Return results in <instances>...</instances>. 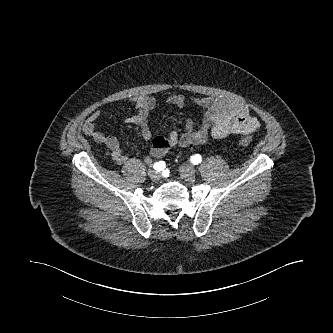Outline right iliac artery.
Returning <instances> with one entry per match:
<instances>
[{"mask_svg": "<svg viewBox=\"0 0 333 333\" xmlns=\"http://www.w3.org/2000/svg\"><path fill=\"white\" fill-rule=\"evenodd\" d=\"M163 166H164L163 162H156V163H154L153 168L155 170H161L163 168Z\"/></svg>", "mask_w": 333, "mask_h": 333, "instance_id": "1", "label": "right iliac artery"}]
</instances>
